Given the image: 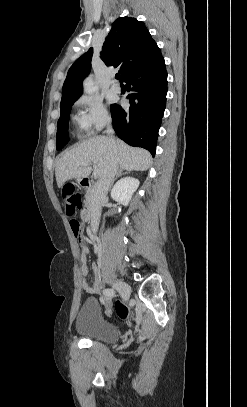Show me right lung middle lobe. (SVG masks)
I'll use <instances>...</instances> for the list:
<instances>
[{
  "mask_svg": "<svg viewBox=\"0 0 247 407\" xmlns=\"http://www.w3.org/2000/svg\"><path fill=\"white\" fill-rule=\"evenodd\" d=\"M76 100L67 101L60 105V118L58 120L56 148L61 150L68 141V123L71 107Z\"/></svg>",
  "mask_w": 247,
  "mask_h": 407,
  "instance_id": "dd1d6c3e",
  "label": "right lung middle lobe"
}]
</instances>
